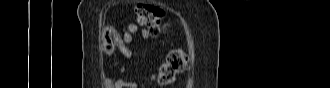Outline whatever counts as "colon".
<instances>
[{"instance_id": "obj_1", "label": "colon", "mask_w": 330, "mask_h": 88, "mask_svg": "<svg viewBox=\"0 0 330 88\" xmlns=\"http://www.w3.org/2000/svg\"><path fill=\"white\" fill-rule=\"evenodd\" d=\"M138 25L145 27L152 36H157L167 30L168 24L164 22V12L153 5L140 3L135 8ZM121 36L112 25H106L101 32L102 47L105 52H111ZM189 67V58L181 48L169 51L163 63L152 75L153 80L160 86H169L176 77Z\"/></svg>"}]
</instances>
